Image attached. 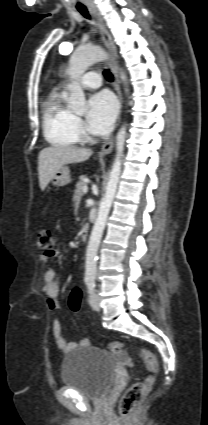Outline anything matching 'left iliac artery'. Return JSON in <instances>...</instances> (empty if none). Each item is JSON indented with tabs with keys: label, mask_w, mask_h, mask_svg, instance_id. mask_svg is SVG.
I'll use <instances>...</instances> for the list:
<instances>
[{
	"label": "left iliac artery",
	"mask_w": 208,
	"mask_h": 425,
	"mask_svg": "<svg viewBox=\"0 0 208 425\" xmlns=\"http://www.w3.org/2000/svg\"><path fill=\"white\" fill-rule=\"evenodd\" d=\"M86 285L88 288V292L91 294L94 291V288L96 286L94 279H88L86 280Z\"/></svg>",
	"instance_id": "left-iliac-artery-1"
}]
</instances>
